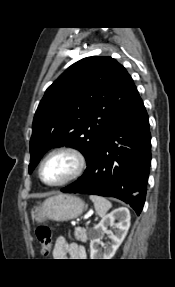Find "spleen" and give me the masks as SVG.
<instances>
[{"label": "spleen", "instance_id": "3e777b00", "mask_svg": "<svg viewBox=\"0 0 175 287\" xmlns=\"http://www.w3.org/2000/svg\"><path fill=\"white\" fill-rule=\"evenodd\" d=\"M89 198L94 203L97 214L101 217L105 216L107 211L112 207L111 202L102 196L90 195Z\"/></svg>", "mask_w": 175, "mask_h": 287}]
</instances>
